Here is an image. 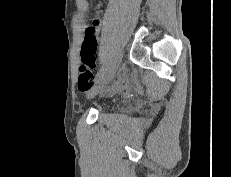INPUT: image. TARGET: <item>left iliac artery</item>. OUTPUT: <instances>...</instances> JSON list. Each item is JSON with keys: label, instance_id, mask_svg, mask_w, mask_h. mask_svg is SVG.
I'll use <instances>...</instances> for the list:
<instances>
[{"label": "left iliac artery", "instance_id": "44dca946", "mask_svg": "<svg viewBox=\"0 0 231 177\" xmlns=\"http://www.w3.org/2000/svg\"><path fill=\"white\" fill-rule=\"evenodd\" d=\"M109 62H110V59L106 58L105 62L101 63V69L96 74V79L100 78L103 75L104 71H108V67L110 66Z\"/></svg>", "mask_w": 231, "mask_h": 177}]
</instances>
